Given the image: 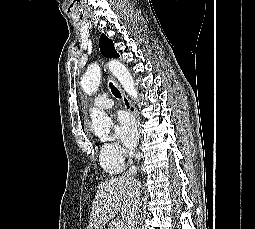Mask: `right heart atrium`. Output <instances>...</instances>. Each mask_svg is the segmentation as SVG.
I'll list each match as a JSON object with an SVG mask.
<instances>
[{
    "label": "right heart atrium",
    "mask_w": 255,
    "mask_h": 229,
    "mask_svg": "<svg viewBox=\"0 0 255 229\" xmlns=\"http://www.w3.org/2000/svg\"><path fill=\"white\" fill-rule=\"evenodd\" d=\"M107 157L117 163H124L128 153L120 145L116 143H107L104 145Z\"/></svg>",
    "instance_id": "1"
}]
</instances>
